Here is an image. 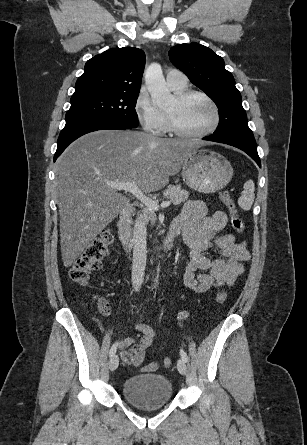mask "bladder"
Instances as JSON below:
<instances>
[{"label": "bladder", "mask_w": 307, "mask_h": 445, "mask_svg": "<svg viewBox=\"0 0 307 445\" xmlns=\"http://www.w3.org/2000/svg\"><path fill=\"white\" fill-rule=\"evenodd\" d=\"M122 394L138 409L156 410L170 403L173 388L166 376L144 373L127 378L122 384Z\"/></svg>", "instance_id": "1"}]
</instances>
